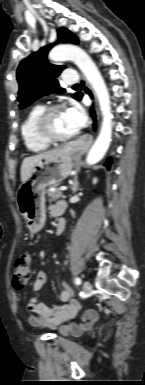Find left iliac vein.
Wrapping results in <instances>:
<instances>
[{
  "label": "left iliac vein",
  "mask_w": 145,
  "mask_h": 385,
  "mask_svg": "<svg viewBox=\"0 0 145 385\" xmlns=\"http://www.w3.org/2000/svg\"><path fill=\"white\" fill-rule=\"evenodd\" d=\"M91 289V284L88 280H85L84 283H83V286H82V291L85 295H87L89 293Z\"/></svg>",
  "instance_id": "4c4485c4"
}]
</instances>
